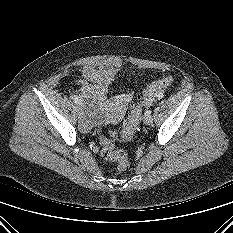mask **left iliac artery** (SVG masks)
Instances as JSON below:
<instances>
[{"label": "left iliac artery", "mask_w": 233, "mask_h": 233, "mask_svg": "<svg viewBox=\"0 0 233 233\" xmlns=\"http://www.w3.org/2000/svg\"><path fill=\"white\" fill-rule=\"evenodd\" d=\"M145 114H151V110H147Z\"/></svg>", "instance_id": "obj_1"}]
</instances>
